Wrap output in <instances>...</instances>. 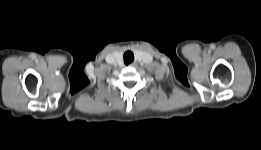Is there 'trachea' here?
I'll list each match as a JSON object with an SVG mask.
<instances>
[{
  "instance_id": "obj_1",
  "label": "trachea",
  "mask_w": 261,
  "mask_h": 150,
  "mask_svg": "<svg viewBox=\"0 0 261 150\" xmlns=\"http://www.w3.org/2000/svg\"><path fill=\"white\" fill-rule=\"evenodd\" d=\"M133 60H134L133 53L131 51L125 52V54H124V63L128 65L131 62H133Z\"/></svg>"
}]
</instances>
